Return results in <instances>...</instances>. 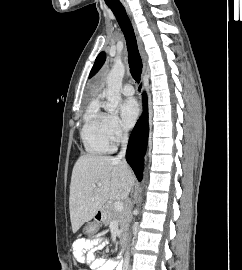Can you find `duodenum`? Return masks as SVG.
<instances>
[{
	"instance_id": "1",
	"label": "duodenum",
	"mask_w": 242,
	"mask_h": 270,
	"mask_svg": "<svg viewBox=\"0 0 242 270\" xmlns=\"http://www.w3.org/2000/svg\"><path fill=\"white\" fill-rule=\"evenodd\" d=\"M126 240H127L126 235L125 234H121L120 235V243H121L122 246L125 245Z\"/></svg>"
}]
</instances>
